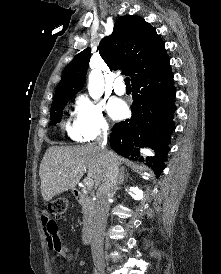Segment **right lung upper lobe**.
I'll return each mask as SVG.
<instances>
[{
  "label": "right lung upper lobe",
  "mask_w": 221,
  "mask_h": 274,
  "mask_svg": "<svg viewBox=\"0 0 221 274\" xmlns=\"http://www.w3.org/2000/svg\"><path fill=\"white\" fill-rule=\"evenodd\" d=\"M98 50L111 70H122L131 76V82L169 58L156 30L143 18L134 15L120 17L112 34L101 40ZM90 55V48H86L65 67L54 98L75 95L81 90Z\"/></svg>",
  "instance_id": "cb5924a9"
}]
</instances>
